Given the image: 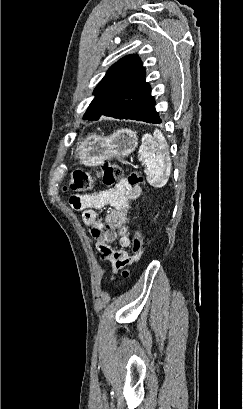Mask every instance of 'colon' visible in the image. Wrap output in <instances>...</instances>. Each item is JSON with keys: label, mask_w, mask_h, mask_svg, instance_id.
I'll use <instances>...</instances> for the list:
<instances>
[{"label": "colon", "mask_w": 243, "mask_h": 409, "mask_svg": "<svg viewBox=\"0 0 243 409\" xmlns=\"http://www.w3.org/2000/svg\"><path fill=\"white\" fill-rule=\"evenodd\" d=\"M95 173L101 176L104 183L108 186L115 185L123 177V169L112 162H105L99 167L95 168ZM127 182L135 187L139 186L142 182L141 175L136 171H130L127 176ZM94 184V178L89 171L77 169L73 171L69 179V188L75 192H85L92 188ZM144 246V238L140 230H138L132 240L131 247L132 253L136 256L134 264L138 263ZM122 276L128 278L130 276V270L128 268L122 271Z\"/></svg>", "instance_id": "5ec220e1"}]
</instances>
